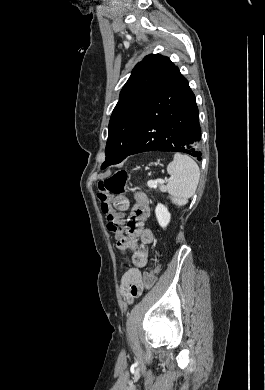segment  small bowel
I'll use <instances>...</instances> for the list:
<instances>
[{"label":"small bowel","instance_id":"c3829d8e","mask_svg":"<svg viewBox=\"0 0 265 390\" xmlns=\"http://www.w3.org/2000/svg\"><path fill=\"white\" fill-rule=\"evenodd\" d=\"M113 205L119 212H125L129 209L130 202L126 196L118 195L113 199ZM149 205L146 194L137 192L134 195V205L125 227L126 235L118 238L117 242L120 252L133 251L131 266L123 274L120 286L122 295L128 301L139 297L144 290L140 269L148 264L149 255L146 246L154 239L152 231L144 227V221L150 210Z\"/></svg>","mask_w":265,"mask_h":390}]
</instances>
